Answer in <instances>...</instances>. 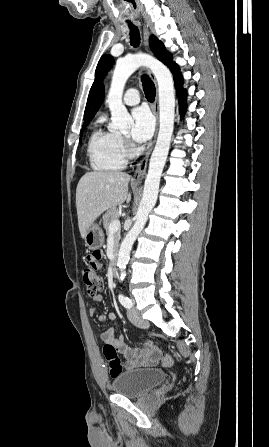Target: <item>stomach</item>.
<instances>
[{
  "instance_id": "0dacf381",
  "label": "stomach",
  "mask_w": 269,
  "mask_h": 447,
  "mask_svg": "<svg viewBox=\"0 0 269 447\" xmlns=\"http://www.w3.org/2000/svg\"><path fill=\"white\" fill-rule=\"evenodd\" d=\"M85 245H88L89 249H98L101 247L104 241V233L99 224L90 225L85 233Z\"/></svg>"
}]
</instances>
